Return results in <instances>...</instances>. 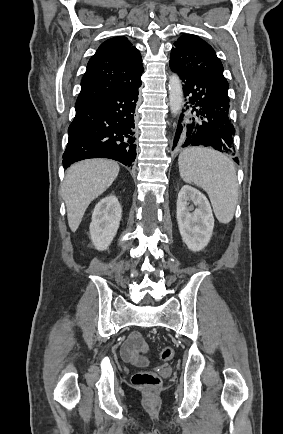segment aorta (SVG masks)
<instances>
[{
  "mask_svg": "<svg viewBox=\"0 0 283 434\" xmlns=\"http://www.w3.org/2000/svg\"><path fill=\"white\" fill-rule=\"evenodd\" d=\"M183 103V90L181 80L177 74H172L169 78V106L171 113L177 115Z\"/></svg>",
  "mask_w": 283,
  "mask_h": 434,
  "instance_id": "1",
  "label": "aorta"
}]
</instances>
